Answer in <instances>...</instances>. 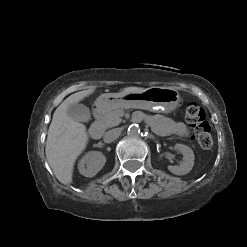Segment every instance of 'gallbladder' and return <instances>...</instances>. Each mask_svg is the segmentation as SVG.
Masks as SVG:
<instances>
[{
    "label": "gallbladder",
    "instance_id": "1",
    "mask_svg": "<svg viewBox=\"0 0 247 247\" xmlns=\"http://www.w3.org/2000/svg\"><path fill=\"white\" fill-rule=\"evenodd\" d=\"M70 118L78 122H88L90 120V110L87 106L80 103L70 104L67 108Z\"/></svg>",
    "mask_w": 247,
    "mask_h": 247
}]
</instances>
